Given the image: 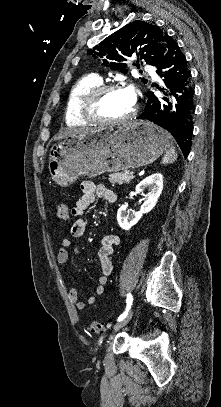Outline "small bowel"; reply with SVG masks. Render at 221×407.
<instances>
[{"mask_svg": "<svg viewBox=\"0 0 221 407\" xmlns=\"http://www.w3.org/2000/svg\"><path fill=\"white\" fill-rule=\"evenodd\" d=\"M81 197L77 200L75 207L72 209L73 222L70 226V235L73 239H78L85 233L86 224L83 219L84 211L92 205L96 197L105 199L109 203H114L117 199L116 194L106 188L104 185H95L93 182H83L80 186ZM118 245V237L116 235H107L102 239V246L98 252L100 261V273L98 275V284L95 289V294L91 295L87 303L92 305L96 301V296L104 292V287L108 282L112 272L111 255L114 248ZM72 247V242L69 239H63L57 251L56 261L59 265L64 266L70 258L69 251ZM74 255H79L80 251L77 247L73 248ZM69 300L74 307L83 310L86 306L79 298L78 290L74 287L69 290Z\"/></svg>", "mask_w": 221, "mask_h": 407, "instance_id": "1", "label": "small bowel"}]
</instances>
